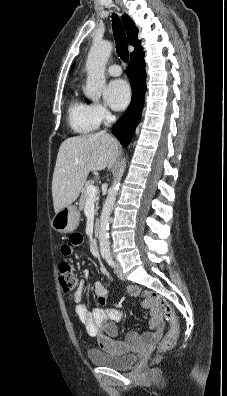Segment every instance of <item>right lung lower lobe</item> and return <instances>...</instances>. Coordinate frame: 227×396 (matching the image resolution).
I'll list each match as a JSON object with an SVG mask.
<instances>
[{"label": "right lung lower lobe", "mask_w": 227, "mask_h": 396, "mask_svg": "<svg viewBox=\"0 0 227 396\" xmlns=\"http://www.w3.org/2000/svg\"><path fill=\"white\" fill-rule=\"evenodd\" d=\"M144 52L142 47L131 54L126 73L131 83L132 100L124 115L112 128L123 146H127L140 120L146 92Z\"/></svg>", "instance_id": "obj_1"}]
</instances>
